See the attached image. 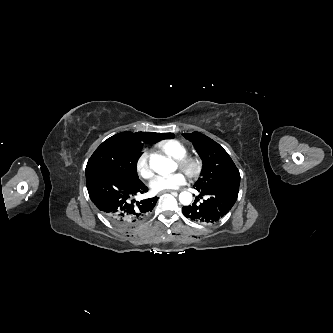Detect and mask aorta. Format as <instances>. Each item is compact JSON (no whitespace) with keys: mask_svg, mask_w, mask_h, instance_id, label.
Instances as JSON below:
<instances>
[{"mask_svg":"<svg viewBox=\"0 0 333 333\" xmlns=\"http://www.w3.org/2000/svg\"><path fill=\"white\" fill-rule=\"evenodd\" d=\"M150 167L160 175H166L176 170L177 164L172 159L161 155H153L150 158ZM179 201L183 205H189L192 202V194L182 192L179 195Z\"/></svg>","mask_w":333,"mask_h":333,"instance_id":"obj_1","label":"aorta"}]
</instances>
